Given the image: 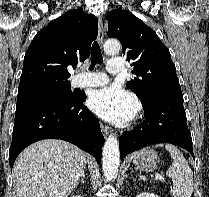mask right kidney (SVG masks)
<instances>
[{"label":"right kidney","mask_w":209,"mask_h":197,"mask_svg":"<svg viewBox=\"0 0 209 197\" xmlns=\"http://www.w3.org/2000/svg\"><path fill=\"white\" fill-rule=\"evenodd\" d=\"M71 197H81L80 195H73V196H71Z\"/></svg>","instance_id":"obj_1"}]
</instances>
